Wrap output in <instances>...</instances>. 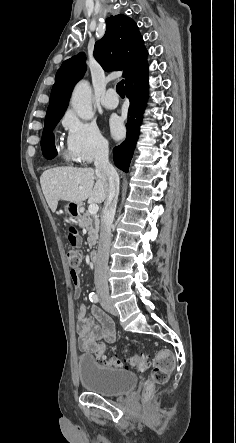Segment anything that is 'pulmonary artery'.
Wrapping results in <instances>:
<instances>
[{"instance_id": "obj_1", "label": "pulmonary artery", "mask_w": 236, "mask_h": 443, "mask_svg": "<svg viewBox=\"0 0 236 443\" xmlns=\"http://www.w3.org/2000/svg\"><path fill=\"white\" fill-rule=\"evenodd\" d=\"M115 89L110 88L106 91L105 95L101 98V104L107 109H115L118 106V101H112L108 97L115 94Z\"/></svg>"}]
</instances>
